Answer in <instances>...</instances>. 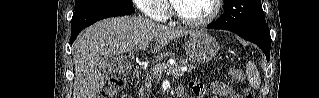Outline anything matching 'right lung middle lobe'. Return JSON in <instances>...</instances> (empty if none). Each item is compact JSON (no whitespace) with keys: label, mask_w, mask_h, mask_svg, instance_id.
I'll use <instances>...</instances> for the list:
<instances>
[{"label":"right lung middle lobe","mask_w":319,"mask_h":98,"mask_svg":"<svg viewBox=\"0 0 319 98\" xmlns=\"http://www.w3.org/2000/svg\"><path fill=\"white\" fill-rule=\"evenodd\" d=\"M103 6L133 8L131 0H75V11Z\"/></svg>","instance_id":"1"}]
</instances>
